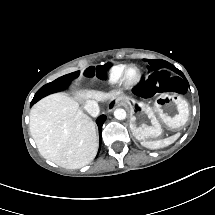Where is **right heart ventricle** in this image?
Returning a JSON list of instances; mask_svg holds the SVG:
<instances>
[{
    "instance_id": "obj_1",
    "label": "right heart ventricle",
    "mask_w": 215,
    "mask_h": 215,
    "mask_svg": "<svg viewBox=\"0 0 215 215\" xmlns=\"http://www.w3.org/2000/svg\"><path fill=\"white\" fill-rule=\"evenodd\" d=\"M122 70H123V65L113 66L110 69H108V71L106 73L107 82L110 84L116 82V80Z\"/></svg>"
}]
</instances>
